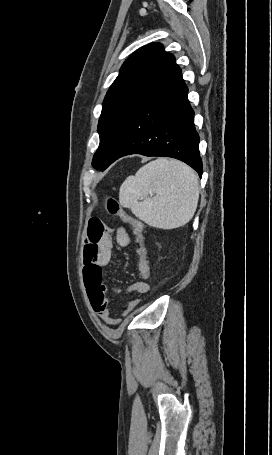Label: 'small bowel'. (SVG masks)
<instances>
[{
	"instance_id": "1",
	"label": "small bowel",
	"mask_w": 272,
	"mask_h": 455,
	"mask_svg": "<svg viewBox=\"0 0 272 455\" xmlns=\"http://www.w3.org/2000/svg\"><path fill=\"white\" fill-rule=\"evenodd\" d=\"M111 232L112 230L101 220L90 219L84 246V282L94 311L106 324L116 325L120 319L115 318L110 310L108 288L103 279L104 267L109 263L114 249ZM115 239L122 248L130 244V236L122 226L116 228ZM114 290L119 292L118 289ZM128 291L145 294L149 291V284L147 281L140 280L131 285ZM137 304V299L129 301L121 315L130 313Z\"/></svg>"
}]
</instances>
